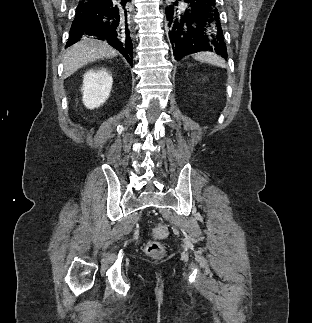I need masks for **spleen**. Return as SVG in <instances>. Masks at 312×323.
<instances>
[{"label": "spleen", "mask_w": 312, "mask_h": 323, "mask_svg": "<svg viewBox=\"0 0 312 323\" xmlns=\"http://www.w3.org/2000/svg\"><path fill=\"white\" fill-rule=\"evenodd\" d=\"M195 60H198V62H207V64H213V66L226 68L225 60H223V58H218L216 54H211V52H199V54H195Z\"/></svg>", "instance_id": "3e777b00"}]
</instances>
